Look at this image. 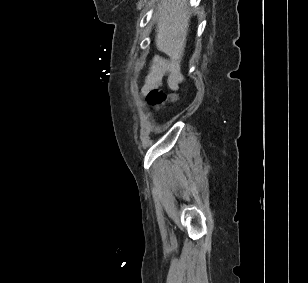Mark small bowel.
<instances>
[{"label":"small bowel","mask_w":308,"mask_h":283,"mask_svg":"<svg viewBox=\"0 0 308 283\" xmlns=\"http://www.w3.org/2000/svg\"><path fill=\"white\" fill-rule=\"evenodd\" d=\"M172 66L163 59H155L150 67L148 74L144 79L141 88L142 94H147L153 89H158L163 81L166 72L170 71Z\"/></svg>","instance_id":"small-bowel-1"}]
</instances>
